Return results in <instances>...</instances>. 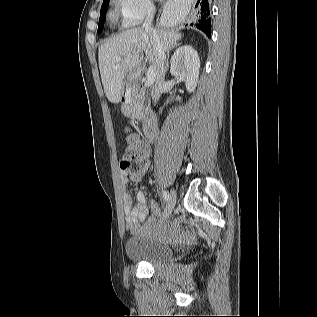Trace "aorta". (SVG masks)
<instances>
[{"label": "aorta", "instance_id": "762f6f07", "mask_svg": "<svg viewBox=\"0 0 317 317\" xmlns=\"http://www.w3.org/2000/svg\"><path fill=\"white\" fill-rule=\"evenodd\" d=\"M179 20H178V17H172L171 19H170V23L171 24H173V23H176V22H178Z\"/></svg>", "mask_w": 317, "mask_h": 317}]
</instances>
